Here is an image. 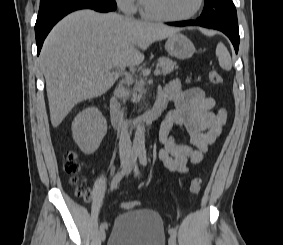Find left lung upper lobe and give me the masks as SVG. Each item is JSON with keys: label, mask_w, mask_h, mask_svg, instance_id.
<instances>
[{"label": "left lung upper lobe", "mask_w": 283, "mask_h": 245, "mask_svg": "<svg viewBox=\"0 0 283 245\" xmlns=\"http://www.w3.org/2000/svg\"><path fill=\"white\" fill-rule=\"evenodd\" d=\"M198 21L239 31L237 12L232 0H205L203 12Z\"/></svg>", "instance_id": "5c2ea615"}]
</instances>
